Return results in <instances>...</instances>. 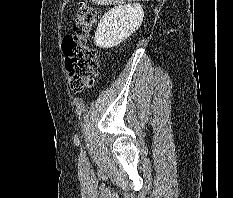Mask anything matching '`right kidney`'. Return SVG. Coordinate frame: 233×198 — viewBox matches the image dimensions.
I'll return each instance as SVG.
<instances>
[{
	"instance_id": "obj_1",
	"label": "right kidney",
	"mask_w": 233,
	"mask_h": 198,
	"mask_svg": "<svg viewBox=\"0 0 233 198\" xmlns=\"http://www.w3.org/2000/svg\"><path fill=\"white\" fill-rule=\"evenodd\" d=\"M144 11L140 4L119 5L104 14L95 32L94 42L99 48L117 46L142 24Z\"/></svg>"
}]
</instances>
